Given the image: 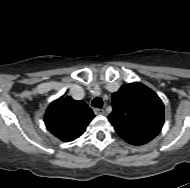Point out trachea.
<instances>
[{
	"label": "trachea",
	"instance_id": "obj_1",
	"mask_svg": "<svg viewBox=\"0 0 190 188\" xmlns=\"http://www.w3.org/2000/svg\"><path fill=\"white\" fill-rule=\"evenodd\" d=\"M92 106L95 108H102L103 100L100 97H96L92 100Z\"/></svg>",
	"mask_w": 190,
	"mask_h": 188
}]
</instances>
